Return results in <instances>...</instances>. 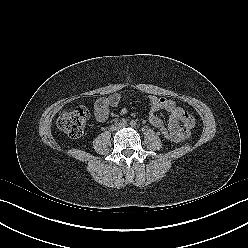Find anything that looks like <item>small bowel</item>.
<instances>
[{"label":"small bowel","mask_w":248,"mask_h":248,"mask_svg":"<svg viewBox=\"0 0 248 248\" xmlns=\"http://www.w3.org/2000/svg\"><path fill=\"white\" fill-rule=\"evenodd\" d=\"M150 112L148 120L156 128L164 125L163 120L157 115L159 110H165L169 113L167 128L176 136V141H183L190 136L191 129L195 126L194 117L182 107L178 106L175 101L164 97L150 95ZM121 94L112 93L99 98L94 106V115L98 122H105L110 114V108L120 103Z\"/></svg>","instance_id":"small-bowel-1"}]
</instances>
